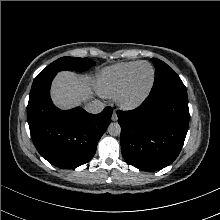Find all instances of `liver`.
Returning <instances> with one entry per match:
<instances>
[{
	"label": "liver",
	"instance_id": "6515ba94",
	"mask_svg": "<svg viewBox=\"0 0 220 220\" xmlns=\"http://www.w3.org/2000/svg\"><path fill=\"white\" fill-rule=\"evenodd\" d=\"M51 97L54 104L61 109H70L91 97L88 76H80L69 71H62L55 77Z\"/></svg>",
	"mask_w": 220,
	"mask_h": 220
}]
</instances>
